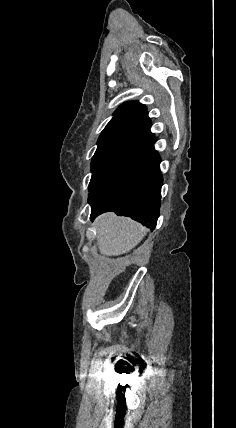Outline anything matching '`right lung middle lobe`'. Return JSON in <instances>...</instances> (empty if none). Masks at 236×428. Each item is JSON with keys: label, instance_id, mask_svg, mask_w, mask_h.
<instances>
[{"label": "right lung middle lobe", "instance_id": "dd1d6c3e", "mask_svg": "<svg viewBox=\"0 0 236 428\" xmlns=\"http://www.w3.org/2000/svg\"><path fill=\"white\" fill-rule=\"evenodd\" d=\"M145 149L144 143L95 153L91 162L92 177L88 186V202L95 203L131 168Z\"/></svg>", "mask_w": 236, "mask_h": 428}]
</instances>
